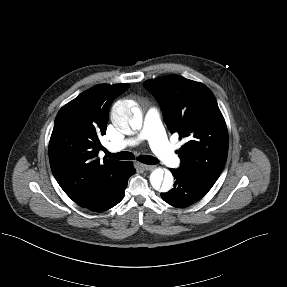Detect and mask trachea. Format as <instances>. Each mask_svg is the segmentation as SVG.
Here are the masks:
<instances>
[{"instance_id":"obj_1","label":"trachea","mask_w":287,"mask_h":287,"mask_svg":"<svg viewBox=\"0 0 287 287\" xmlns=\"http://www.w3.org/2000/svg\"><path fill=\"white\" fill-rule=\"evenodd\" d=\"M106 154L109 157L118 159V160H133L135 158L131 152H127V151H122L118 153H110L107 151ZM137 160L147 165H155L158 163V160L151 155H140L137 158Z\"/></svg>"}]
</instances>
